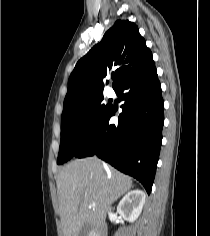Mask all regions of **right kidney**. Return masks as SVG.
Returning <instances> with one entry per match:
<instances>
[{
	"label": "right kidney",
	"mask_w": 210,
	"mask_h": 236,
	"mask_svg": "<svg viewBox=\"0 0 210 236\" xmlns=\"http://www.w3.org/2000/svg\"><path fill=\"white\" fill-rule=\"evenodd\" d=\"M146 195L140 189L128 192L120 201L117 212L127 221L134 222L140 215Z\"/></svg>",
	"instance_id": "ca27d5eb"
}]
</instances>
